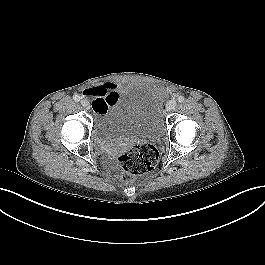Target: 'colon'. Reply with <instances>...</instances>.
Listing matches in <instances>:
<instances>
[{
    "label": "colon",
    "mask_w": 265,
    "mask_h": 265,
    "mask_svg": "<svg viewBox=\"0 0 265 265\" xmlns=\"http://www.w3.org/2000/svg\"><path fill=\"white\" fill-rule=\"evenodd\" d=\"M159 161V151L151 144L133 145L119 158L121 178L129 182L133 177L147 174L155 169Z\"/></svg>",
    "instance_id": "1"
}]
</instances>
